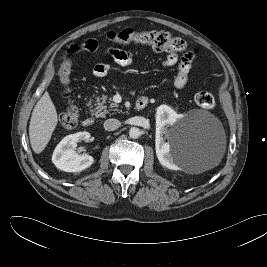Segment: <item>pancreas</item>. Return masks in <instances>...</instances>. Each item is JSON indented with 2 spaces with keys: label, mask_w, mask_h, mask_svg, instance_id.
<instances>
[{
  "label": "pancreas",
  "mask_w": 267,
  "mask_h": 267,
  "mask_svg": "<svg viewBox=\"0 0 267 267\" xmlns=\"http://www.w3.org/2000/svg\"><path fill=\"white\" fill-rule=\"evenodd\" d=\"M107 96H102L101 98L97 97L96 102L94 104L95 111L94 115L98 117L105 118L106 114H115L116 112H119L118 105L116 103H111L109 106L106 105Z\"/></svg>",
  "instance_id": "1"
}]
</instances>
